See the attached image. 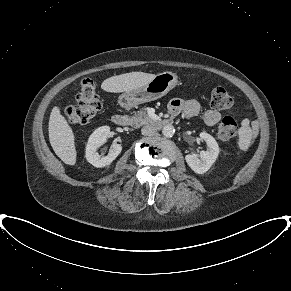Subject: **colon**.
<instances>
[{"label": "colon", "mask_w": 291, "mask_h": 291, "mask_svg": "<svg viewBox=\"0 0 291 291\" xmlns=\"http://www.w3.org/2000/svg\"><path fill=\"white\" fill-rule=\"evenodd\" d=\"M210 104L214 110L227 109L232 104V98L224 88L217 87L212 91ZM101 107L94 81L84 79L76 93V104L65 109V116L71 124H86L96 116ZM237 131L236 120L231 116L224 117L218 126V135L224 140L234 138Z\"/></svg>", "instance_id": "obj_1"}]
</instances>
